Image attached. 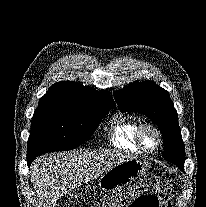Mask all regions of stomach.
I'll use <instances>...</instances> for the list:
<instances>
[{"label":"stomach","mask_w":206,"mask_h":207,"mask_svg":"<svg viewBox=\"0 0 206 207\" xmlns=\"http://www.w3.org/2000/svg\"><path fill=\"white\" fill-rule=\"evenodd\" d=\"M148 170L149 163L145 159L127 160L105 172L98 185L102 192L116 191L145 175Z\"/></svg>","instance_id":"stomach-1"}]
</instances>
